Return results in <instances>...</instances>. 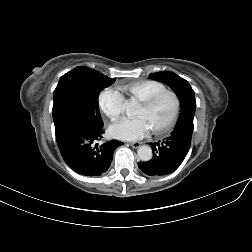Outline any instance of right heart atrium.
Masks as SVG:
<instances>
[{
    "instance_id": "obj_1",
    "label": "right heart atrium",
    "mask_w": 252,
    "mask_h": 252,
    "mask_svg": "<svg viewBox=\"0 0 252 252\" xmlns=\"http://www.w3.org/2000/svg\"><path fill=\"white\" fill-rule=\"evenodd\" d=\"M103 113L111 120H116L123 112L124 97L113 88H105L98 98Z\"/></svg>"
}]
</instances>
